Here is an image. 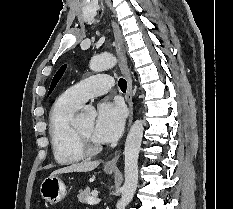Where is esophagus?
Returning <instances> with one entry per match:
<instances>
[{"label": "esophagus", "mask_w": 233, "mask_h": 209, "mask_svg": "<svg viewBox=\"0 0 233 209\" xmlns=\"http://www.w3.org/2000/svg\"><path fill=\"white\" fill-rule=\"evenodd\" d=\"M112 27L115 36L116 52L120 60L119 67L127 81L126 101L128 103V108H129V119H128V127H129L133 120L132 78H131L130 70L127 65L124 40L120 28L115 21H112ZM119 157H120V151H117L115 156L106 163V167L116 168Z\"/></svg>", "instance_id": "obj_1"}]
</instances>
